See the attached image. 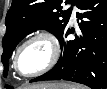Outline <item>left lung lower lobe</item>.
<instances>
[{
  "label": "left lung lower lobe",
  "mask_w": 107,
  "mask_h": 89,
  "mask_svg": "<svg viewBox=\"0 0 107 89\" xmlns=\"http://www.w3.org/2000/svg\"><path fill=\"white\" fill-rule=\"evenodd\" d=\"M77 7L81 12L77 18L81 35L66 41L73 29L65 28L58 39L62 55L49 72L32 79L67 80L81 83L92 89L107 86V0H80Z\"/></svg>",
  "instance_id": "left-lung-lower-lobe-1"
}]
</instances>
